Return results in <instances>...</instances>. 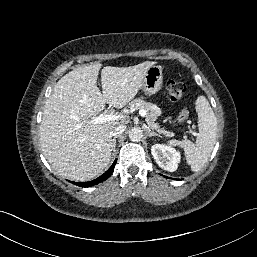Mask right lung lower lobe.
I'll list each match as a JSON object with an SVG mask.
<instances>
[{
    "label": "right lung lower lobe",
    "instance_id": "98d812e1",
    "mask_svg": "<svg viewBox=\"0 0 257 257\" xmlns=\"http://www.w3.org/2000/svg\"><path fill=\"white\" fill-rule=\"evenodd\" d=\"M115 164H116V160L114 161L112 166L104 174H102L100 177H98V178H96L92 181H89V182H73V184L81 186V187H90V186L96 185L100 182H103L111 176V174L114 171Z\"/></svg>",
    "mask_w": 257,
    "mask_h": 257
}]
</instances>
